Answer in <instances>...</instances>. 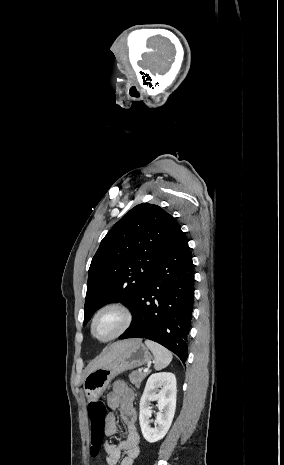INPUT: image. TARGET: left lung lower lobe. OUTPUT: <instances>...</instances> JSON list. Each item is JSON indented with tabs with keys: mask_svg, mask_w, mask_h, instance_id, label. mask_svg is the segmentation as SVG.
Here are the masks:
<instances>
[{
	"mask_svg": "<svg viewBox=\"0 0 284 465\" xmlns=\"http://www.w3.org/2000/svg\"><path fill=\"white\" fill-rule=\"evenodd\" d=\"M193 301L192 256L180 230L173 247L142 286L131 307L133 321L120 339L155 341L174 352L185 364Z\"/></svg>",
	"mask_w": 284,
	"mask_h": 465,
	"instance_id": "obj_1",
	"label": "left lung lower lobe"
}]
</instances>
